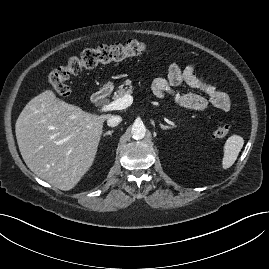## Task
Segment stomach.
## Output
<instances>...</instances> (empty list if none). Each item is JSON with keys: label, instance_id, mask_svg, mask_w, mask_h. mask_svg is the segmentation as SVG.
I'll return each instance as SVG.
<instances>
[{"label": "stomach", "instance_id": "stomach-1", "mask_svg": "<svg viewBox=\"0 0 269 269\" xmlns=\"http://www.w3.org/2000/svg\"><path fill=\"white\" fill-rule=\"evenodd\" d=\"M111 85H112L111 83H108L106 86H107V87H110Z\"/></svg>", "mask_w": 269, "mask_h": 269}]
</instances>
